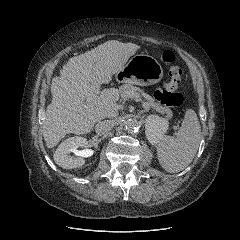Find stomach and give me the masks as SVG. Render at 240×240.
Returning a JSON list of instances; mask_svg holds the SVG:
<instances>
[{
    "label": "stomach",
    "mask_w": 240,
    "mask_h": 240,
    "mask_svg": "<svg viewBox=\"0 0 240 240\" xmlns=\"http://www.w3.org/2000/svg\"><path fill=\"white\" fill-rule=\"evenodd\" d=\"M162 77V66L154 57L147 54L133 56L128 63L116 73L117 81L139 86L156 84L161 81Z\"/></svg>",
    "instance_id": "0dacf381"
}]
</instances>
